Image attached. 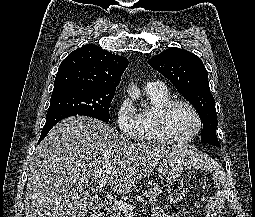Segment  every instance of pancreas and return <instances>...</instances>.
<instances>
[{
    "mask_svg": "<svg viewBox=\"0 0 255 217\" xmlns=\"http://www.w3.org/2000/svg\"><path fill=\"white\" fill-rule=\"evenodd\" d=\"M162 188L158 185L151 187L148 191L143 193V196L146 198V204H152L157 201L158 196L161 194ZM108 217H121V212L115 205H111L107 208Z\"/></svg>",
    "mask_w": 255,
    "mask_h": 217,
    "instance_id": "pancreas-1",
    "label": "pancreas"
}]
</instances>
